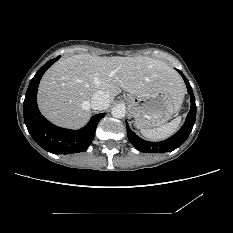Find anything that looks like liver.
I'll use <instances>...</instances> for the list:
<instances>
[{
  "instance_id": "liver-1",
  "label": "liver",
  "mask_w": 233,
  "mask_h": 233,
  "mask_svg": "<svg viewBox=\"0 0 233 233\" xmlns=\"http://www.w3.org/2000/svg\"><path fill=\"white\" fill-rule=\"evenodd\" d=\"M121 90L132 95L164 90L179 106L185 92L179 74L160 60L79 54L59 60L47 70L39 85L38 106L54 124L79 128L91 115L94 93L104 91L111 103Z\"/></svg>"
}]
</instances>
